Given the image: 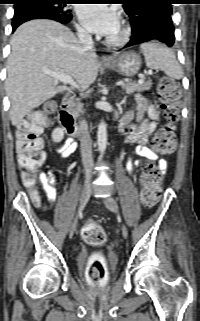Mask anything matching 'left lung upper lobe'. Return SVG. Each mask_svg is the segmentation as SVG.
Instances as JSON below:
<instances>
[{
	"label": "left lung upper lobe",
	"instance_id": "obj_1",
	"mask_svg": "<svg viewBox=\"0 0 200 321\" xmlns=\"http://www.w3.org/2000/svg\"><path fill=\"white\" fill-rule=\"evenodd\" d=\"M174 0H122L124 10L133 17L151 10H162L172 14L171 4Z\"/></svg>",
	"mask_w": 200,
	"mask_h": 321
}]
</instances>
